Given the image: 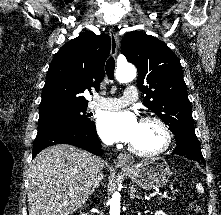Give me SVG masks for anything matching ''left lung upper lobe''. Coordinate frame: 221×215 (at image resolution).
<instances>
[{
	"label": "left lung upper lobe",
	"instance_id": "1",
	"mask_svg": "<svg viewBox=\"0 0 221 215\" xmlns=\"http://www.w3.org/2000/svg\"><path fill=\"white\" fill-rule=\"evenodd\" d=\"M121 52L137 67L144 104L170 127L176 142H198L181 64L172 50L151 35L133 31L123 37Z\"/></svg>",
	"mask_w": 221,
	"mask_h": 215
}]
</instances>
